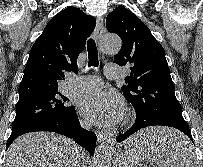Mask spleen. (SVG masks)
<instances>
[{
	"label": "spleen",
	"mask_w": 203,
	"mask_h": 167,
	"mask_svg": "<svg viewBox=\"0 0 203 167\" xmlns=\"http://www.w3.org/2000/svg\"><path fill=\"white\" fill-rule=\"evenodd\" d=\"M152 138L156 146L136 149L141 158L155 162L158 167H196L191 145H186L183 135L170 138L166 133L160 132Z\"/></svg>",
	"instance_id": "obj_1"
}]
</instances>
